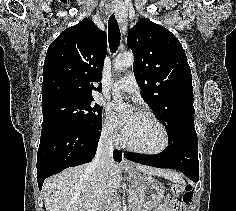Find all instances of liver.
<instances>
[{
    "instance_id": "obj_1",
    "label": "liver",
    "mask_w": 236,
    "mask_h": 211,
    "mask_svg": "<svg viewBox=\"0 0 236 211\" xmlns=\"http://www.w3.org/2000/svg\"><path fill=\"white\" fill-rule=\"evenodd\" d=\"M148 175L176 180L177 174L137 164ZM123 180L120 164L112 162L105 174L89 164L68 168L45 180L42 191L46 211H100L110 202Z\"/></svg>"
}]
</instances>
